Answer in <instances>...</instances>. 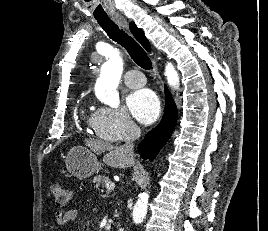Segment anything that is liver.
<instances>
[{"label": "liver", "mask_w": 268, "mask_h": 231, "mask_svg": "<svg viewBox=\"0 0 268 231\" xmlns=\"http://www.w3.org/2000/svg\"><path fill=\"white\" fill-rule=\"evenodd\" d=\"M85 145L96 154L107 152L103 162L111 167L125 169L134 164V159L128 155L124 146H112L97 139H86Z\"/></svg>", "instance_id": "liver-1"}]
</instances>
